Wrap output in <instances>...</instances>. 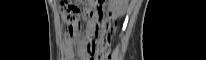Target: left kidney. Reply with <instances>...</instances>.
<instances>
[{
    "label": "left kidney",
    "instance_id": "obj_1",
    "mask_svg": "<svg viewBox=\"0 0 206 60\" xmlns=\"http://www.w3.org/2000/svg\"><path fill=\"white\" fill-rule=\"evenodd\" d=\"M111 8L117 15H123L127 9L126 0H114L111 4Z\"/></svg>",
    "mask_w": 206,
    "mask_h": 60
}]
</instances>
